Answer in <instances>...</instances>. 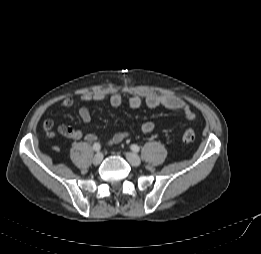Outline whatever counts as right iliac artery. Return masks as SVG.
Returning a JSON list of instances; mask_svg holds the SVG:
<instances>
[{
    "label": "right iliac artery",
    "mask_w": 261,
    "mask_h": 254,
    "mask_svg": "<svg viewBox=\"0 0 261 254\" xmlns=\"http://www.w3.org/2000/svg\"><path fill=\"white\" fill-rule=\"evenodd\" d=\"M93 149H94L95 151H99V150L101 149L100 144H99V143H95V144L93 145Z\"/></svg>",
    "instance_id": "obj_1"
}]
</instances>
